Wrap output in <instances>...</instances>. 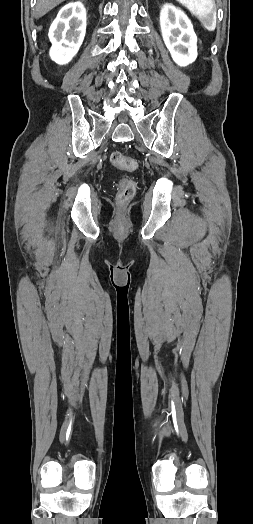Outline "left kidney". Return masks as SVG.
Instances as JSON below:
<instances>
[{
  "instance_id": "obj_1",
  "label": "left kidney",
  "mask_w": 253,
  "mask_h": 524,
  "mask_svg": "<svg viewBox=\"0 0 253 524\" xmlns=\"http://www.w3.org/2000/svg\"><path fill=\"white\" fill-rule=\"evenodd\" d=\"M160 27L174 62L182 67L193 63L197 58V37L183 11L166 3L160 12Z\"/></svg>"
}]
</instances>
